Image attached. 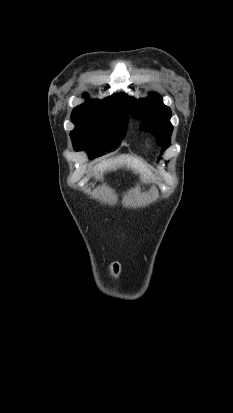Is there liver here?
<instances>
[{
  "instance_id": "1",
  "label": "liver",
  "mask_w": 233,
  "mask_h": 413,
  "mask_svg": "<svg viewBox=\"0 0 233 413\" xmlns=\"http://www.w3.org/2000/svg\"><path fill=\"white\" fill-rule=\"evenodd\" d=\"M121 167H127L140 173L144 180L150 181L153 178L151 170L141 160L128 154L108 158L94 166V171L102 174L105 171L116 170Z\"/></svg>"
}]
</instances>
